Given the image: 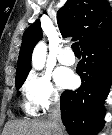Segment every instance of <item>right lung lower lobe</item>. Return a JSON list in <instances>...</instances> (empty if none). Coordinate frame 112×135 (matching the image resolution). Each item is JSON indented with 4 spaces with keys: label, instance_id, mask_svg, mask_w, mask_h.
Segmentation results:
<instances>
[{
    "label": "right lung lower lobe",
    "instance_id": "obj_1",
    "mask_svg": "<svg viewBox=\"0 0 112 135\" xmlns=\"http://www.w3.org/2000/svg\"><path fill=\"white\" fill-rule=\"evenodd\" d=\"M77 90L61 95V118L70 135H95L104 125V102L112 85V33L83 47Z\"/></svg>",
    "mask_w": 112,
    "mask_h": 135
}]
</instances>
